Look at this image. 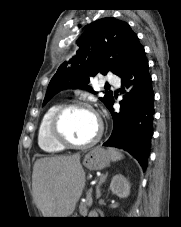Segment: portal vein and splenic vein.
I'll return each mask as SVG.
<instances>
[{"label":"portal vein and splenic vein","mask_w":181,"mask_h":227,"mask_svg":"<svg viewBox=\"0 0 181 227\" xmlns=\"http://www.w3.org/2000/svg\"><path fill=\"white\" fill-rule=\"evenodd\" d=\"M87 202H89L90 205H92L93 199H92V195H91V191H89L87 193Z\"/></svg>","instance_id":"portal-vein-and-splenic-vein-1"}]
</instances>
